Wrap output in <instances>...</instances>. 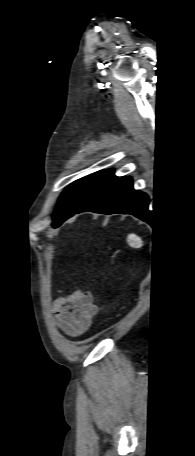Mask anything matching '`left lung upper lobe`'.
<instances>
[{"label":"left lung upper lobe","instance_id":"obj_1","mask_svg":"<svg viewBox=\"0 0 195 456\" xmlns=\"http://www.w3.org/2000/svg\"><path fill=\"white\" fill-rule=\"evenodd\" d=\"M112 173V169L98 171L68 185L52 214L53 227L60 226L89 201L104 186Z\"/></svg>","mask_w":195,"mask_h":456}]
</instances>
